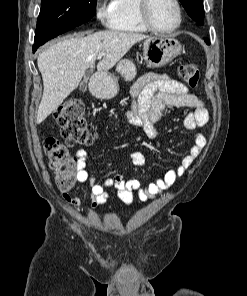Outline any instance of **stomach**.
Masks as SVG:
<instances>
[{
	"instance_id": "obj_1",
	"label": "stomach",
	"mask_w": 247,
	"mask_h": 296,
	"mask_svg": "<svg viewBox=\"0 0 247 296\" xmlns=\"http://www.w3.org/2000/svg\"><path fill=\"white\" fill-rule=\"evenodd\" d=\"M182 52L180 42L170 35H159L147 38L143 42V58L150 67H162L171 62ZM116 70L125 80L130 81L136 75L135 64L122 59L118 62ZM119 91L116 78L107 73H98L95 76L93 93L101 99H110Z\"/></svg>"
}]
</instances>
